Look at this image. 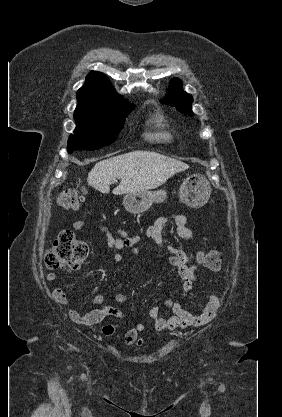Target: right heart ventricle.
Instances as JSON below:
<instances>
[{
  "label": "right heart ventricle",
  "instance_id": "1",
  "mask_svg": "<svg viewBox=\"0 0 282 417\" xmlns=\"http://www.w3.org/2000/svg\"><path fill=\"white\" fill-rule=\"evenodd\" d=\"M154 129L150 133L149 137L154 140H165L169 137L165 129V125L163 119L161 117H157L153 120Z\"/></svg>",
  "mask_w": 282,
  "mask_h": 417
}]
</instances>
